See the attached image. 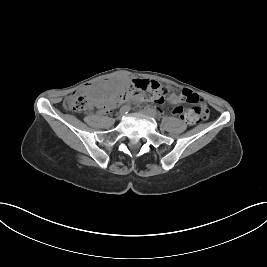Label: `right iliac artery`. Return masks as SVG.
Returning <instances> with one entry per match:
<instances>
[{"label":"right iliac artery","instance_id":"right-iliac-artery-1","mask_svg":"<svg viewBox=\"0 0 267 267\" xmlns=\"http://www.w3.org/2000/svg\"><path fill=\"white\" fill-rule=\"evenodd\" d=\"M130 111V106L125 105L120 109V113L127 114Z\"/></svg>","mask_w":267,"mask_h":267}]
</instances>
